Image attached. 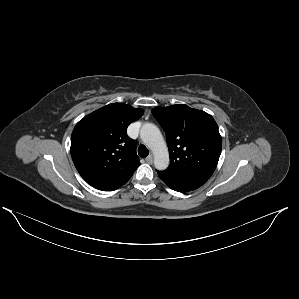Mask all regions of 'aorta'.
Wrapping results in <instances>:
<instances>
[{
  "instance_id": "1",
  "label": "aorta",
  "mask_w": 299,
  "mask_h": 299,
  "mask_svg": "<svg viewBox=\"0 0 299 299\" xmlns=\"http://www.w3.org/2000/svg\"><path fill=\"white\" fill-rule=\"evenodd\" d=\"M140 136L154 154L155 168L160 171L165 170L169 165V153L158 127L147 123L141 128Z\"/></svg>"
}]
</instances>
